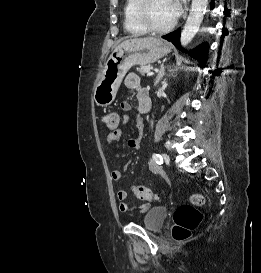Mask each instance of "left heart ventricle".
I'll list each match as a JSON object with an SVG mask.
<instances>
[{
  "label": "left heart ventricle",
  "mask_w": 261,
  "mask_h": 273,
  "mask_svg": "<svg viewBox=\"0 0 261 273\" xmlns=\"http://www.w3.org/2000/svg\"><path fill=\"white\" fill-rule=\"evenodd\" d=\"M148 17L150 22L157 27H164L174 19V11L171 0H152Z\"/></svg>",
  "instance_id": "obj_1"
}]
</instances>
